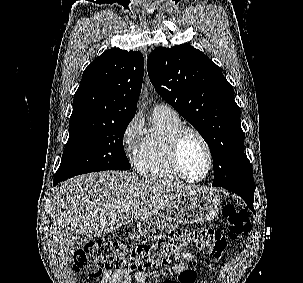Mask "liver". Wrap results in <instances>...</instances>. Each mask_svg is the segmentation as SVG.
<instances>
[{"instance_id":"1","label":"liver","mask_w":303,"mask_h":283,"mask_svg":"<svg viewBox=\"0 0 303 283\" xmlns=\"http://www.w3.org/2000/svg\"><path fill=\"white\" fill-rule=\"evenodd\" d=\"M201 190L181 182L119 171L69 179L55 190L52 200V235L56 252L62 264L68 265L80 238L101 235L147 218L176 198Z\"/></svg>"}]
</instances>
